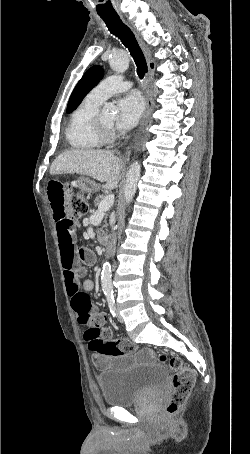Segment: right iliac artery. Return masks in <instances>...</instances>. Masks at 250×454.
I'll use <instances>...</instances> for the list:
<instances>
[{
  "mask_svg": "<svg viewBox=\"0 0 250 454\" xmlns=\"http://www.w3.org/2000/svg\"><path fill=\"white\" fill-rule=\"evenodd\" d=\"M108 306L110 309L111 314L115 317L116 316V306H115V300L113 298L108 299Z\"/></svg>",
  "mask_w": 250,
  "mask_h": 454,
  "instance_id": "82829eb1",
  "label": "right iliac artery"
}]
</instances>
